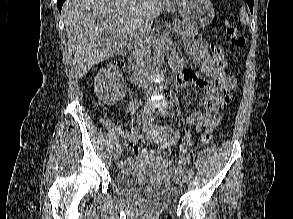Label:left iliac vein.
<instances>
[{"mask_svg": "<svg viewBox=\"0 0 293 219\" xmlns=\"http://www.w3.org/2000/svg\"><path fill=\"white\" fill-rule=\"evenodd\" d=\"M159 113L163 117H168L170 115V107L168 105H166V106L160 108ZM182 180H183V182H187V180H188V173L185 168H183V170H182Z\"/></svg>", "mask_w": 293, "mask_h": 219, "instance_id": "left-iliac-vein-1", "label": "left iliac vein"}]
</instances>
